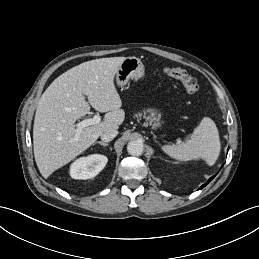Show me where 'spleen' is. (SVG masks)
<instances>
[{"mask_svg": "<svg viewBox=\"0 0 259 259\" xmlns=\"http://www.w3.org/2000/svg\"><path fill=\"white\" fill-rule=\"evenodd\" d=\"M220 148L219 133L215 123L210 118H204L185 142L166 145L162 149L179 161L203 159L208 165H213L218 159Z\"/></svg>", "mask_w": 259, "mask_h": 259, "instance_id": "obj_1", "label": "spleen"}]
</instances>
